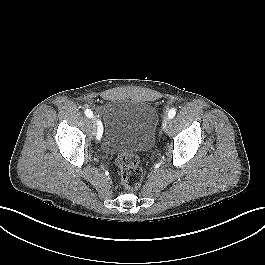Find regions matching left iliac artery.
Returning <instances> with one entry per match:
<instances>
[{
  "label": "left iliac artery",
  "instance_id": "1",
  "mask_svg": "<svg viewBox=\"0 0 265 265\" xmlns=\"http://www.w3.org/2000/svg\"><path fill=\"white\" fill-rule=\"evenodd\" d=\"M176 114V109L175 108H172L169 113H168V117L169 119H172Z\"/></svg>",
  "mask_w": 265,
  "mask_h": 265
}]
</instances>
